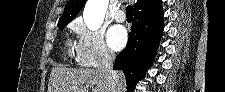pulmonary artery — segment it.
<instances>
[{"mask_svg": "<svg viewBox=\"0 0 225 92\" xmlns=\"http://www.w3.org/2000/svg\"><path fill=\"white\" fill-rule=\"evenodd\" d=\"M114 18L117 22H124L126 19V16L123 11H118L117 13H115Z\"/></svg>", "mask_w": 225, "mask_h": 92, "instance_id": "e3ab8cb5", "label": "pulmonary artery"}]
</instances>
